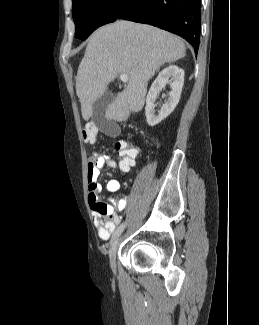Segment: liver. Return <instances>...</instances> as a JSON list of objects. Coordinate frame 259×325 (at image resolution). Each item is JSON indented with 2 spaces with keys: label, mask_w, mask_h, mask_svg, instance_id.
Returning a JSON list of instances; mask_svg holds the SVG:
<instances>
[{
  "label": "liver",
  "mask_w": 259,
  "mask_h": 325,
  "mask_svg": "<svg viewBox=\"0 0 259 325\" xmlns=\"http://www.w3.org/2000/svg\"><path fill=\"white\" fill-rule=\"evenodd\" d=\"M186 55L177 36L151 25L119 20L97 29L89 38L76 77L82 117L88 121L93 104L120 74L128 76L124 90L105 112L107 120L122 122L142 110L147 83L164 63Z\"/></svg>",
  "instance_id": "liver-1"
}]
</instances>
